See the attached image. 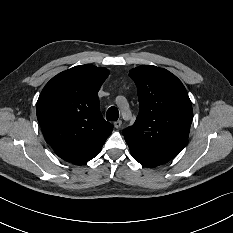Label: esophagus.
Segmentation results:
<instances>
[{"mask_svg":"<svg viewBox=\"0 0 233 233\" xmlns=\"http://www.w3.org/2000/svg\"><path fill=\"white\" fill-rule=\"evenodd\" d=\"M121 125H122V121L121 120H117L116 122H114V127L117 128V129L120 128Z\"/></svg>","mask_w":233,"mask_h":233,"instance_id":"obj_1","label":"esophagus"}]
</instances>
